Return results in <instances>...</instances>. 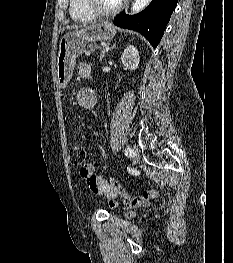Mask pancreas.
Instances as JSON below:
<instances>
[{"instance_id":"1","label":"pancreas","mask_w":233,"mask_h":263,"mask_svg":"<svg viewBox=\"0 0 233 263\" xmlns=\"http://www.w3.org/2000/svg\"><path fill=\"white\" fill-rule=\"evenodd\" d=\"M88 47H89V49H90L91 51H94L95 49L98 48V46H97L96 44H90Z\"/></svg>"}]
</instances>
